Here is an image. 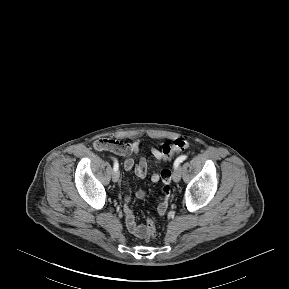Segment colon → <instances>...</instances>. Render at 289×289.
Masks as SVG:
<instances>
[{
	"instance_id": "1",
	"label": "colon",
	"mask_w": 289,
	"mask_h": 289,
	"mask_svg": "<svg viewBox=\"0 0 289 289\" xmlns=\"http://www.w3.org/2000/svg\"><path fill=\"white\" fill-rule=\"evenodd\" d=\"M188 146H189L188 141L182 138L174 140L171 144H165L160 149L162 158L164 160H169L175 153L187 149ZM146 235L147 239H153L156 236L155 222L151 218L147 219Z\"/></svg>"
}]
</instances>
